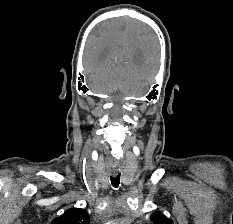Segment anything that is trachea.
Segmentation results:
<instances>
[{
    "label": "trachea",
    "mask_w": 233,
    "mask_h": 224,
    "mask_svg": "<svg viewBox=\"0 0 233 224\" xmlns=\"http://www.w3.org/2000/svg\"><path fill=\"white\" fill-rule=\"evenodd\" d=\"M110 179H111L112 186L117 188L120 183V173L116 176H111Z\"/></svg>",
    "instance_id": "trachea-1"
}]
</instances>
